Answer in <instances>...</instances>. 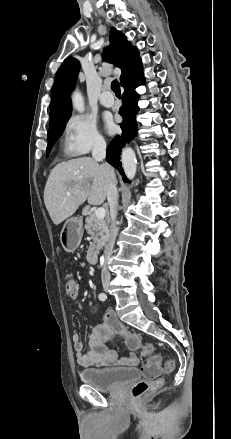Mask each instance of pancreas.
<instances>
[{
  "label": "pancreas",
  "mask_w": 231,
  "mask_h": 439,
  "mask_svg": "<svg viewBox=\"0 0 231 439\" xmlns=\"http://www.w3.org/2000/svg\"><path fill=\"white\" fill-rule=\"evenodd\" d=\"M85 229L93 239L89 251L92 249L98 251L108 240L109 230L107 220L97 219L94 214H88L85 219Z\"/></svg>",
  "instance_id": "cf45deb5"
}]
</instances>
